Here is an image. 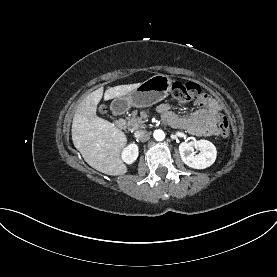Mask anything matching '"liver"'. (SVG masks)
<instances>
[{
  "mask_svg": "<svg viewBox=\"0 0 277 277\" xmlns=\"http://www.w3.org/2000/svg\"><path fill=\"white\" fill-rule=\"evenodd\" d=\"M139 85L111 87L105 91L104 99L125 96ZM103 91V87L93 91L78 105L72 121V140L88 165L107 175H123L127 166L120 155L127 144V137L113 123L96 115Z\"/></svg>",
  "mask_w": 277,
  "mask_h": 277,
  "instance_id": "6515ba94",
  "label": "liver"
}]
</instances>
